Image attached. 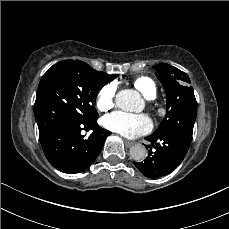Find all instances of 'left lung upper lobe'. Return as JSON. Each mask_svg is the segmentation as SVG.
Wrapping results in <instances>:
<instances>
[{"label":"left lung upper lobe","mask_w":229,"mask_h":229,"mask_svg":"<svg viewBox=\"0 0 229 229\" xmlns=\"http://www.w3.org/2000/svg\"><path fill=\"white\" fill-rule=\"evenodd\" d=\"M156 76L167 95L166 115L155 135L178 136L192 140L193 126L197 115V102L188 75L166 63L155 65Z\"/></svg>","instance_id":"left-lung-upper-lobe-1"}]
</instances>
